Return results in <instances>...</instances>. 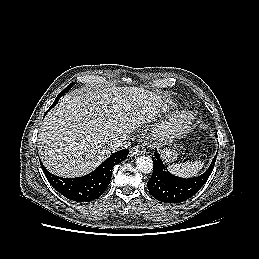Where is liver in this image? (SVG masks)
<instances>
[{
  "instance_id": "obj_1",
  "label": "liver",
  "mask_w": 259,
  "mask_h": 259,
  "mask_svg": "<svg viewBox=\"0 0 259 259\" xmlns=\"http://www.w3.org/2000/svg\"><path fill=\"white\" fill-rule=\"evenodd\" d=\"M155 94L138 87L74 90L44 118L38 151L54 175L77 177L90 173L114 149L159 113Z\"/></svg>"
}]
</instances>
